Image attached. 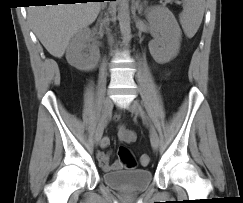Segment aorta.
<instances>
[{
    "label": "aorta",
    "mask_w": 243,
    "mask_h": 203,
    "mask_svg": "<svg viewBox=\"0 0 243 203\" xmlns=\"http://www.w3.org/2000/svg\"><path fill=\"white\" fill-rule=\"evenodd\" d=\"M118 20L120 26V32L125 43H128L131 39V27L129 16V4L128 0L118 1Z\"/></svg>",
    "instance_id": "1"
}]
</instances>
